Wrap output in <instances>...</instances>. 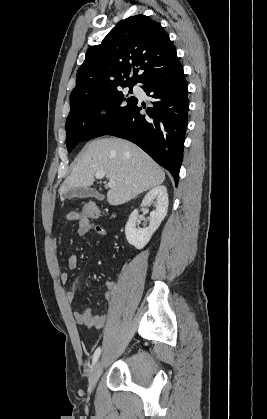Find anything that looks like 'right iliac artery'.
<instances>
[{"label":"right iliac artery","instance_id":"right-iliac-artery-1","mask_svg":"<svg viewBox=\"0 0 267 419\" xmlns=\"http://www.w3.org/2000/svg\"><path fill=\"white\" fill-rule=\"evenodd\" d=\"M100 353H101V348H100V347H98V348L96 349V351L94 352V354H93V359H92V364H93V365L97 362V360H98V358H99Z\"/></svg>","mask_w":267,"mask_h":419}]
</instances>
